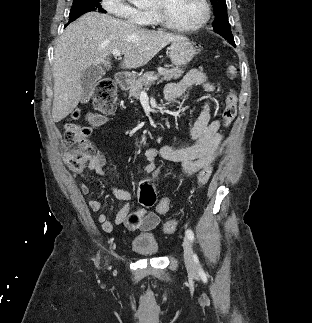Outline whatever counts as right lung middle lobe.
Segmentation results:
<instances>
[{
  "mask_svg": "<svg viewBox=\"0 0 312 323\" xmlns=\"http://www.w3.org/2000/svg\"><path fill=\"white\" fill-rule=\"evenodd\" d=\"M100 1L101 0H73V6L70 10L68 23L90 11L106 13V11L101 7Z\"/></svg>",
  "mask_w": 312,
  "mask_h": 323,
  "instance_id": "1",
  "label": "right lung middle lobe"
}]
</instances>
